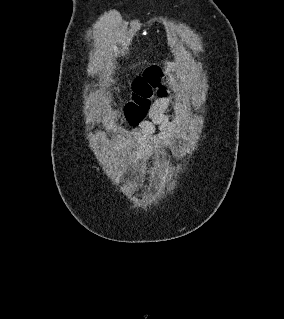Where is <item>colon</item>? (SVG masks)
Wrapping results in <instances>:
<instances>
[{
  "mask_svg": "<svg viewBox=\"0 0 284 319\" xmlns=\"http://www.w3.org/2000/svg\"><path fill=\"white\" fill-rule=\"evenodd\" d=\"M162 77L163 70L154 66L134 80L131 99L119 113L125 123L137 125L146 117L156 98L167 96Z\"/></svg>",
  "mask_w": 284,
  "mask_h": 319,
  "instance_id": "1",
  "label": "colon"
}]
</instances>
